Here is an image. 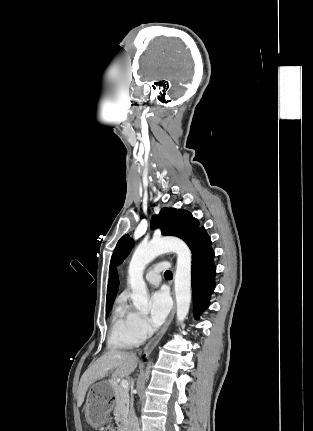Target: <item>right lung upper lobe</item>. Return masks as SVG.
Here are the masks:
<instances>
[{
    "label": "right lung upper lobe",
    "mask_w": 313,
    "mask_h": 431,
    "mask_svg": "<svg viewBox=\"0 0 313 431\" xmlns=\"http://www.w3.org/2000/svg\"><path fill=\"white\" fill-rule=\"evenodd\" d=\"M119 288V278L115 266L110 264V278L107 288L106 308L112 306Z\"/></svg>",
    "instance_id": "right-lung-upper-lobe-1"
}]
</instances>
